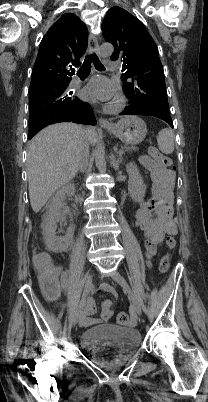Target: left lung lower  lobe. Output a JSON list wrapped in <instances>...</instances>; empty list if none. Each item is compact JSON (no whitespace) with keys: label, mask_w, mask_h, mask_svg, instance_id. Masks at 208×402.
Listing matches in <instances>:
<instances>
[{"label":"left lung lower lobe","mask_w":208,"mask_h":402,"mask_svg":"<svg viewBox=\"0 0 208 402\" xmlns=\"http://www.w3.org/2000/svg\"><path fill=\"white\" fill-rule=\"evenodd\" d=\"M120 115H148L160 118L173 128V122L168 112L154 107L129 104Z\"/></svg>","instance_id":"0a47b994"}]
</instances>
